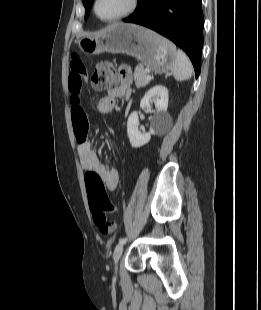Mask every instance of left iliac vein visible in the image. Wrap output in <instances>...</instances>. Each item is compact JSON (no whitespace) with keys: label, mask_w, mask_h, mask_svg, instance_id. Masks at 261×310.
Wrapping results in <instances>:
<instances>
[{"label":"left iliac vein","mask_w":261,"mask_h":310,"mask_svg":"<svg viewBox=\"0 0 261 310\" xmlns=\"http://www.w3.org/2000/svg\"><path fill=\"white\" fill-rule=\"evenodd\" d=\"M123 248H124V243L118 244L115 248V251H114L113 259H114V263H115V273L117 272L118 261L121 258Z\"/></svg>","instance_id":"obj_1"}]
</instances>
